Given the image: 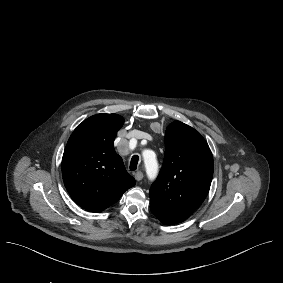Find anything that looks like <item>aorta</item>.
Here are the masks:
<instances>
[{"mask_svg": "<svg viewBox=\"0 0 283 283\" xmlns=\"http://www.w3.org/2000/svg\"><path fill=\"white\" fill-rule=\"evenodd\" d=\"M143 159L147 176L150 180H153L158 173V163L155 153L151 150H145L143 151Z\"/></svg>", "mask_w": 283, "mask_h": 283, "instance_id": "aorta-1", "label": "aorta"}]
</instances>
